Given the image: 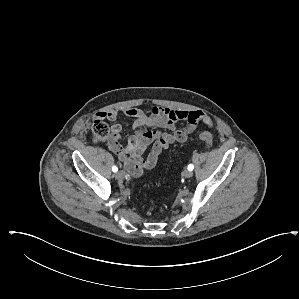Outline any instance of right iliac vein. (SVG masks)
Returning <instances> with one entry per match:
<instances>
[{"label":"right iliac vein","instance_id":"right-iliac-vein-1","mask_svg":"<svg viewBox=\"0 0 299 299\" xmlns=\"http://www.w3.org/2000/svg\"><path fill=\"white\" fill-rule=\"evenodd\" d=\"M125 176H126V174L124 171H118L116 173V178L120 181L124 180Z\"/></svg>","mask_w":299,"mask_h":299}]
</instances>
